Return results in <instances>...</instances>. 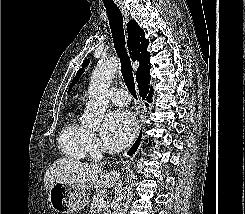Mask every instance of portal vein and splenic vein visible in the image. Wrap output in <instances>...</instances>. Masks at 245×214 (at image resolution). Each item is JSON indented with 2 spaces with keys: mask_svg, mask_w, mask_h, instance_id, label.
I'll return each instance as SVG.
<instances>
[{
  "mask_svg": "<svg viewBox=\"0 0 245 214\" xmlns=\"http://www.w3.org/2000/svg\"><path fill=\"white\" fill-rule=\"evenodd\" d=\"M99 203H100V205H98V209H101V208L105 207V205H106V202H105L103 197L99 198Z\"/></svg>",
  "mask_w": 245,
  "mask_h": 214,
  "instance_id": "portal-vein-and-splenic-vein-1",
  "label": "portal vein and splenic vein"
}]
</instances>
